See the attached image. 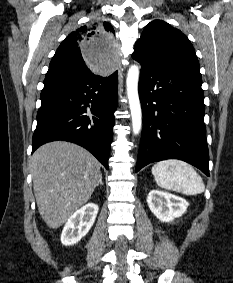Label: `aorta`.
Returning a JSON list of instances; mask_svg holds the SVG:
<instances>
[{"label":"aorta","instance_id":"obj_1","mask_svg":"<svg viewBox=\"0 0 233 283\" xmlns=\"http://www.w3.org/2000/svg\"><path fill=\"white\" fill-rule=\"evenodd\" d=\"M139 73L138 66L133 65L129 68L126 79L127 97L132 118V130L135 135L139 134L142 128V110L138 95Z\"/></svg>","mask_w":233,"mask_h":283}]
</instances>
